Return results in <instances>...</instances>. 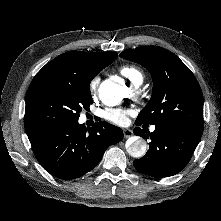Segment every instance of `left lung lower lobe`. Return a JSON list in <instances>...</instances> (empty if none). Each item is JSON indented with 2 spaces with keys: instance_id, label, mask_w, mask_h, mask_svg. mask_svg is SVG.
I'll use <instances>...</instances> for the list:
<instances>
[{
  "instance_id": "left-lung-lower-lobe-1",
  "label": "left lung lower lobe",
  "mask_w": 221,
  "mask_h": 221,
  "mask_svg": "<svg viewBox=\"0 0 221 221\" xmlns=\"http://www.w3.org/2000/svg\"><path fill=\"white\" fill-rule=\"evenodd\" d=\"M133 132L151 140L146 155L134 160L133 164L138 171L153 177H168L180 172L202 136V133L169 125H155L152 133L139 127Z\"/></svg>"
}]
</instances>
